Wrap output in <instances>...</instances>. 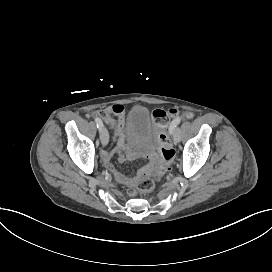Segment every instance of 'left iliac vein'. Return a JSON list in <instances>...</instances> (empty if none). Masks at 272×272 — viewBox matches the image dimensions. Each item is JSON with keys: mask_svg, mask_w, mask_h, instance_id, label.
Segmentation results:
<instances>
[{"mask_svg": "<svg viewBox=\"0 0 272 272\" xmlns=\"http://www.w3.org/2000/svg\"><path fill=\"white\" fill-rule=\"evenodd\" d=\"M173 137H174V140L176 142H179L180 141V134H179V130L178 129H175L174 133H173Z\"/></svg>", "mask_w": 272, "mask_h": 272, "instance_id": "4c4485c4", "label": "left iliac vein"}]
</instances>
